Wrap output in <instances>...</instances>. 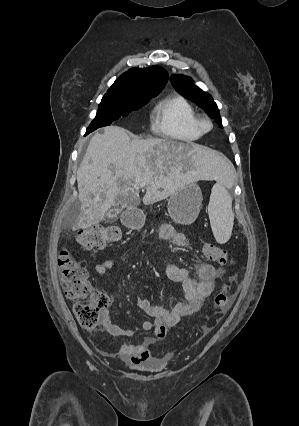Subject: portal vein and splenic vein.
I'll list each match as a JSON object with an SVG mask.
<instances>
[{
  "label": "portal vein and splenic vein",
  "instance_id": "portal-vein-and-splenic-vein-1",
  "mask_svg": "<svg viewBox=\"0 0 299 426\" xmlns=\"http://www.w3.org/2000/svg\"><path fill=\"white\" fill-rule=\"evenodd\" d=\"M145 185H146V183H141L140 187L143 188V187H145Z\"/></svg>",
  "mask_w": 299,
  "mask_h": 426
}]
</instances>
